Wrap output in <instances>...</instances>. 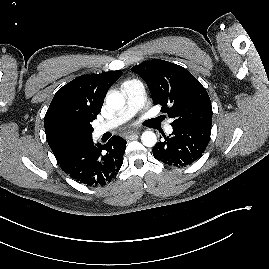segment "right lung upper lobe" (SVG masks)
I'll list each match as a JSON object with an SVG mask.
<instances>
[{
  "mask_svg": "<svg viewBox=\"0 0 269 269\" xmlns=\"http://www.w3.org/2000/svg\"><path fill=\"white\" fill-rule=\"evenodd\" d=\"M121 75V71H113L79 76L56 92L44 120L47 142L56 159L76 147L78 133L92 128L107 90Z\"/></svg>",
  "mask_w": 269,
  "mask_h": 269,
  "instance_id": "cb5924a9",
  "label": "right lung upper lobe"
}]
</instances>
